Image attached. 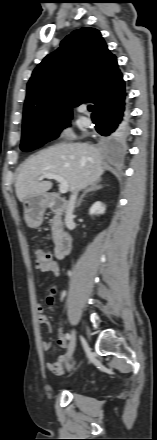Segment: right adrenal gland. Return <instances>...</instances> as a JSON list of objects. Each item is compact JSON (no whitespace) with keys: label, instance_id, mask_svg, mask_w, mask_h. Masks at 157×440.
Instances as JSON below:
<instances>
[{"label":"right adrenal gland","instance_id":"2a0ac1e0","mask_svg":"<svg viewBox=\"0 0 157 440\" xmlns=\"http://www.w3.org/2000/svg\"><path fill=\"white\" fill-rule=\"evenodd\" d=\"M101 188H102V186L99 184V181L96 182V183H93L92 185H90V186H89V187L83 192V194L80 196V198H79V200H78V202H77L76 207H80L81 202H82V199H83V197H84L87 193H89V192H93V191H97V190H100Z\"/></svg>","mask_w":157,"mask_h":440}]
</instances>
